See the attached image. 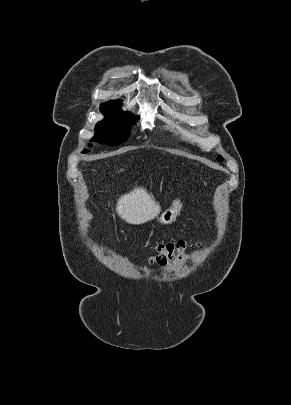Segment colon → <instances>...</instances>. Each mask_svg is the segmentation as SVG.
<instances>
[{"mask_svg": "<svg viewBox=\"0 0 291 405\" xmlns=\"http://www.w3.org/2000/svg\"><path fill=\"white\" fill-rule=\"evenodd\" d=\"M186 248L187 244L183 240L160 243L156 248V254L151 258V263L166 266L181 261Z\"/></svg>", "mask_w": 291, "mask_h": 405, "instance_id": "1", "label": "colon"}]
</instances>
